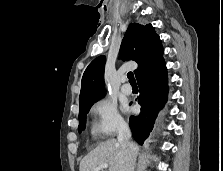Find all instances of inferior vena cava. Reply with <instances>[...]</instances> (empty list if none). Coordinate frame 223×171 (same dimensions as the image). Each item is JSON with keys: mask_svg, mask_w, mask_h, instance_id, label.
<instances>
[{"mask_svg": "<svg viewBox=\"0 0 223 171\" xmlns=\"http://www.w3.org/2000/svg\"><path fill=\"white\" fill-rule=\"evenodd\" d=\"M131 131L127 124L123 123L118 129V142L124 149L125 163L124 171H134L135 161H136V147L130 142Z\"/></svg>", "mask_w": 223, "mask_h": 171, "instance_id": "602c4592", "label": "inferior vena cava"}]
</instances>
